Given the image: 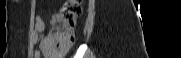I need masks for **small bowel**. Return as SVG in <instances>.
Listing matches in <instances>:
<instances>
[{
  "label": "small bowel",
  "mask_w": 181,
  "mask_h": 58,
  "mask_svg": "<svg viewBox=\"0 0 181 58\" xmlns=\"http://www.w3.org/2000/svg\"><path fill=\"white\" fill-rule=\"evenodd\" d=\"M45 32V22L42 16L38 13L35 17V41L39 43L40 50H47V37L44 34Z\"/></svg>",
  "instance_id": "c3829d8e"
}]
</instances>
